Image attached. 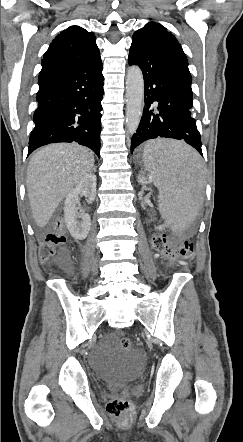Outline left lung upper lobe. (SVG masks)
<instances>
[{"mask_svg":"<svg viewBox=\"0 0 243 442\" xmlns=\"http://www.w3.org/2000/svg\"><path fill=\"white\" fill-rule=\"evenodd\" d=\"M133 40L186 57L175 36L159 23L150 22L146 24L134 33Z\"/></svg>","mask_w":243,"mask_h":442,"instance_id":"obj_1","label":"left lung upper lobe"}]
</instances>
